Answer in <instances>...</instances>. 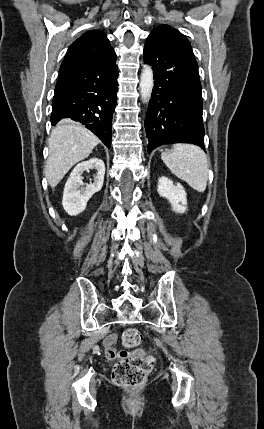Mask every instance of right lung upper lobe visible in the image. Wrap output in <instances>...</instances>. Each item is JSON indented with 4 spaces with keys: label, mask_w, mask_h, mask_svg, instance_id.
<instances>
[{
    "label": "right lung upper lobe",
    "mask_w": 264,
    "mask_h": 429,
    "mask_svg": "<svg viewBox=\"0 0 264 429\" xmlns=\"http://www.w3.org/2000/svg\"><path fill=\"white\" fill-rule=\"evenodd\" d=\"M111 50L104 32L91 30L84 33L69 47L60 67L59 78L98 60Z\"/></svg>",
    "instance_id": "right-lung-upper-lobe-1"
}]
</instances>
